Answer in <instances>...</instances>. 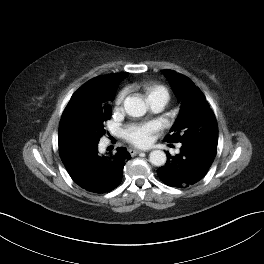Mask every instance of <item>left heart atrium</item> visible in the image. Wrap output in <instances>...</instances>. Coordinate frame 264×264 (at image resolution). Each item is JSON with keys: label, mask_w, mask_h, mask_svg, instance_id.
Returning a JSON list of instances; mask_svg holds the SVG:
<instances>
[{"label": "left heart atrium", "mask_w": 264, "mask_h": 264, "mask_svg": "<svg viewBox=\"0 0 264 264\" xmlns=\"http://www.w3.org/2000/svg\"><path fill=\"white\" fill-rule=\"evenodd\" d=\"M156 131L154 123L131 124L125 128L124 137L136 146L147 147L152 143Z\"/></svg>", "instance_id": "obj_1"}]
</instances>
